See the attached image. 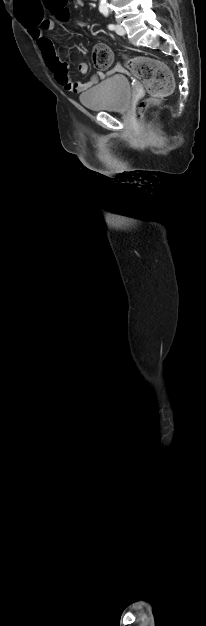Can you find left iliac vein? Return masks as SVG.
Here are the masks:
<instances>
[{
  "instance_id": "4c4485c4",
  "label": "left iliac vein",
  "mask_w": 206,
  "mask_h": 626,
  "mask_svg": "<svg viewBox=\"0 0 206 626\" xmlns=\"http://www.w3.org/2000/svg\"><path fill=\"white\" fill-rule=\"evenodd\" d=\"M115 30H116V33H117L118 35H124V34L126 33L125 28H124L122 25H120V24H117V25H116Z\"/></svg>"
}]
</instances>
